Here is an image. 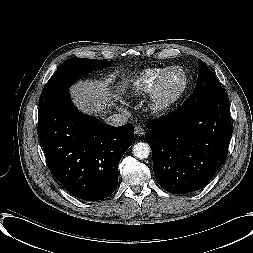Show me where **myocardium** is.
<instances>
[{
  "label": "myocardium",
  "mask_w": 253,
  "mask_h": 253,
  "mask_svg": "<svg viewBox=\"0 0 253 253\" xmlns=\"http://www.w3.org/2000/svg\"><path fill=\"white\" fill-rule=\"evenodd\" d=\"M174 71H180L182 73L183 85L180 88V90L171 98L164 99L161 97L160 94L162 84L166 79V77ZM188 86H189V78L186 71L179 66L169 67L157 78L151 90L149 91V94L145 101L146 111L153 116H162L169 113L181 101V99L183 98L188 89Z\"/></svg>",
  "instance_id": "f54148a6"
}]
</instances>
